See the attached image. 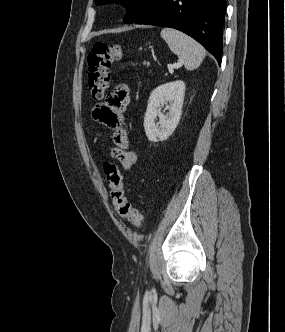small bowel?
<instances>
[{
	"label": "small bowel",
	"instance_id": "c3829d8e",
	"mask_svg": "<svg viewBox=\"0 0 285 332\" xmlns=\"http://www.w3.org/2000/svg\"><path fill=\"white\" fill-rule=\"evenodd\" d=\"M130 102V90L121 84L108 95L106 102L96 105L92 110L95 121L113 130L111 155L120 161L125 169H130L137 161L134 152L129 151V134L125 128L124 112Z\"/></svg>",
	"mask_w": 285,
	"mask_h": 332
}]
</instances>
